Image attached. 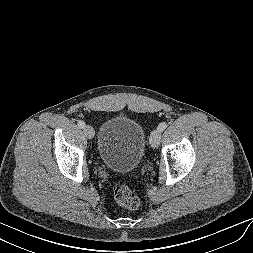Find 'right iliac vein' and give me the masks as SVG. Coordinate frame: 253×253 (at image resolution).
I'll list each match as a JSON object with an SVG mask.
<instances>
[{
    "instance_id": "63e3f726",
    "label": "right iliac vein",
    "mask_w": 253,
    "mask_h": 253,
    "mask_svg": "<svg viewBox=\"0 0 253 253\" xmlns=\"http://www.w3.org/2000/svg\"><path fill=\"white\" fill-rule=\"evenodd\" d=\"M84 133L88 139H92L95 135L94 129L89 125L84 127Z\"/></svg>"
}]
</instances>
